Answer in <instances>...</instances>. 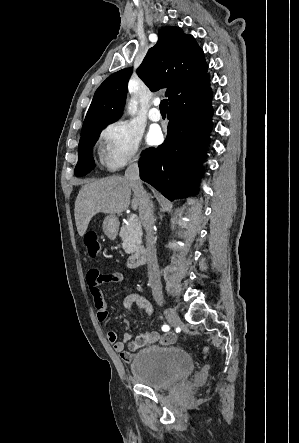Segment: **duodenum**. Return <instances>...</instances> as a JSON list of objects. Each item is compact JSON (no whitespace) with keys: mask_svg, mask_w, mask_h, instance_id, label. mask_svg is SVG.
Masks as SVG:
<instances>
[{"mask_svg":"<svg viewBox=\"0 0 299 443\" xmlns=\"http://www.w3.org/2000/svg\"><path fill=\"white\" fill-rule=\"evenodd\" d=\"M146 262V249L139 247L134 253L129 255L126 260V266L128 268H136L143 265Z\"/></svg>","mask_w":299,"mask_h":443,"instance_id":"410a0bca","label":"duodenum"}]
</instances>
